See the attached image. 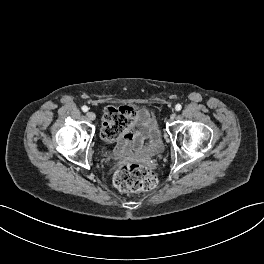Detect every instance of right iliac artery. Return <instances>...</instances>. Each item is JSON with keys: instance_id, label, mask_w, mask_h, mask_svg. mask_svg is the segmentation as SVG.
<instances>
[{"instance_id": "right-iliac-artery-1", "label": "right iliac artery", "mask_w": 264, "mask_h": 264, "mask_svg": "<svg viewBox=\"0 0 264 264\" xmlns=\"http://www.w3.org/2000/svg\"><path fill=\"white\" fill-rule=\"evenodd\" d=\"M82 110H83V112H87L89 109H88L87 106H83V107H82Z\"/></svg>"}]
</instances>
